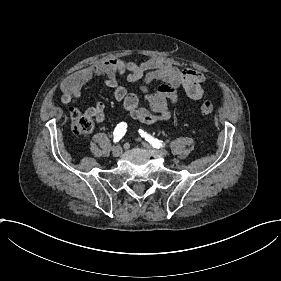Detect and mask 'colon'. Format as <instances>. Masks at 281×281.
<instances>
[{"instance_id":"obj_1","label":"colon","mask_w":281,"mask_h":281,"mask_svg":"<svg viewBox=\"0 0 281 281\" xmlns=\"http://www.w3.org/2000/svg\"><path fill=\"white\" fill-rule=\"evenodd\" d=\"M215 109L216 105L211 100H204L199 105V112L203 115H212ZM76 126L81 133H88L92 129V122L88 117L82 116L77 120Z\"/></svg>"}]
</instances>
